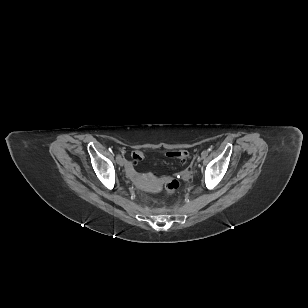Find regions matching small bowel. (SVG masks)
<instances>
[{
  "label": "small bowel",
  "mask_w": 308,
  "mask_h": 308,
  "mask_svg": "<svg viewBox=\"0 0 308 308\" xmlns=\"http://www.w3.org/2000/svg\"><path fill=\"white\" fill-rule=\"evenodd\" d=\"M127 169L129 172H133V166L131 165V163L127 164Z\"/></svg>",
  "instance_id": "c3829d8e"
}]
</instances>
